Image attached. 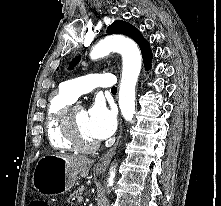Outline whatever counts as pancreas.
<instances>
[{
  "label": "pancreas",
  "mask_w": 221,
  "mask_h": 206,
  "mask_svg": "<svg viewBox=\"0 0 221 206\" xmlns=\"http://www.w3.org/2000/svg\"><path fill=\"white\" fill-rule=\"evenodd\" d=\"M80 197H82V190L78 189L75 190L69 197L68 202L73 201V200H78Z\"/></svg>",
  "instance_id": "obj_1"
}]
</instances>
